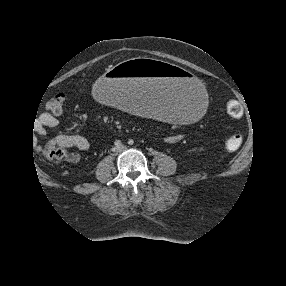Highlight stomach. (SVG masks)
I'll use <instances>...</instances> for the list:
<instances>
[{
  "label": "stomach",
  "instance_id": "1",
  "mask_svg": "<svg viewBox=\"0 0 286 286\" xmlns=\"http://www.w3.org/2000/svg\"><path fill=\"white\" fill-rule=\"evenodd\" d=\"M90 96L104 108H120L175 125L200 120L209 105L204 83L178 67L144 57L122 61L96 78Z\"/></svg>",
  "mask_w": 286,
  "mask_h": 286
}]
</instances>
